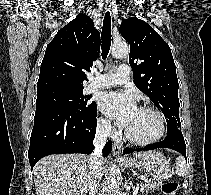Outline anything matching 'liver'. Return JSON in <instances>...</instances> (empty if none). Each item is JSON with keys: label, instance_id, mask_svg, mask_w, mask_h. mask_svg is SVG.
<instances>
[{"label": "liver", "instance_id": "6515ba94", "mask_svg": "<svg viewBox=\"0 0 211 195\" xmlns=\"http://www.w3.org/2000/svg\"><path fill=\"white\" fill-rule=\"evenodd\" d=\"M148 152L135 153L141 158ZM105 160H102V170ZM89 160L83 154H53L39 160L33 169L37 195H86Z\"/></svg>", "mask_w": 211, "mask_h": 195}]
</instances>
